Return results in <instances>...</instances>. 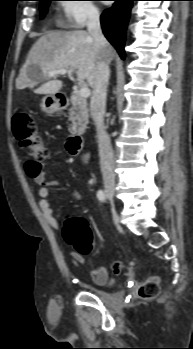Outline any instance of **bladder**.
<instances>
[{"mask_svg": "<svg viewBox=\"0 0 193 349\" xmlns=\"http://www.w3.org/2000/svg\"><path fill=\"white\" fill-rule=\"evenodd\" d=\"M90 291L101 300H106L108 297V294L105 290H102V289H99L96 287H92V288H90Z\"/></svg>", "mask_w": 193, "mask_h": 349, "instance_id": "obj_1", "label": "bladder"}]
</instances>
